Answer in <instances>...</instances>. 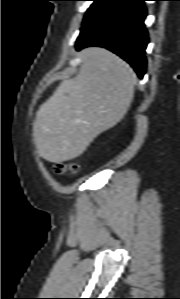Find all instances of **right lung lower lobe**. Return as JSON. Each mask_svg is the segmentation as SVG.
I'll use <instances>...</instances> for the list:
<instances>
[{"instance_id": "right-lung-lower-lobe-1", "label": "right lung lower lobe", "mask_w": 180, "mask_h": 299, "mask_svg": "<svg viewBox=\"0 0 180 299\" xmlns=\"http://www.w3.org/2000/svg\"><path fill=\"white\" fill-rule=\"evenodd\" d=\"M146 0H108L84 19L76 49L100 46L127 61L142 78L146 70Z\"/></svg>"}]
</instances>
